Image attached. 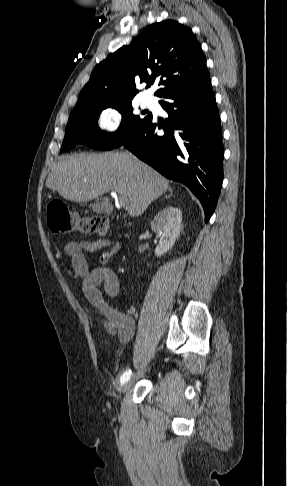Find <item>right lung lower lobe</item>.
Listing matches in <instances>:
<instances>
[{
	"instance_id": "obj_1",
	"label": "right lung lower lobe",
	"mask_w": 287,
	"mask_h": 486,
	"mask_svg": "<svg viewBox=\"0 0 287 486\" xmlns=\"http://www.w3.org/2000/svg\"><path fill=\"white\" fill-rule=\"evenodd\" d=\"M159 101L169 117L151 115L124 146L165 177L185 184L201 201L205 221L212 216L223 181V144L211 80L168 93ZM157 135V128H165Z\"/></svg>"
}]
</instances>
